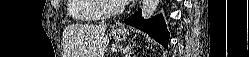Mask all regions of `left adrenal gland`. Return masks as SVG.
<instances>
[{"label": "left adrenal gland", "instance_id": "1", "mask_svg": "<svg viewBox=\"0 0 249 57\" xmlns=\"http://www.w3.org/2000/svg\"><path fill=\"white\" fill-rule=\"evenodd\" d=\"M132 47L127 46L126 49L124 50L125 57H130Z\"/></svg>", "mask_w": 249, "mask_h": 57}]
</instances>
